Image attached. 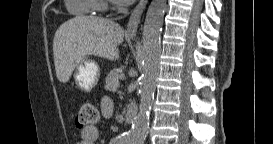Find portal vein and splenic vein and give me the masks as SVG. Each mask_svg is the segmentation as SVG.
Returning a JSON list of instances; mask_svg holds the SVG:
<instances>
[{
  "instance_id": "1",
  "label": "portal vein and splenic vein",
  "mask_w": 273,
  "mask_h": 144,
  "mask_svg": "<svg viewBox=\"0 0 273 144\" xmlns=\"http://www.w3.org/2000/svg\"><path fill=\"white\" fill-rule=\"evenodd\" d=\"M124 78H125V75L122 73V74L120 75V79H121V80H124Z\"/></svg>"
}]
</instances>
